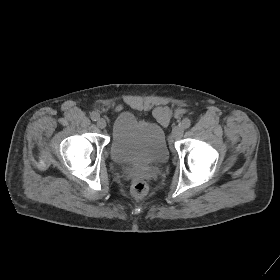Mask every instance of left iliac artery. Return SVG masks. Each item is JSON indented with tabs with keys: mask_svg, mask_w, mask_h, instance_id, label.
<instances>
[{
	"mask_svg": "<svg viewBox=\"0 0 280 280\" xmlns=\"http://www.w3.org/2000/svg\"><path fill=\"white\" fill-rule=\"evenodd\" d=\"M190 125H191L190 119L184 118V119L182 120L181 126H182L184 129L189 128Z\"/></svg>",
	"mask_w": 280,
	"mask_h": 280,
	"instance_id": "44dca946",
	"label": "left iliac artery"
}]
</instances>
